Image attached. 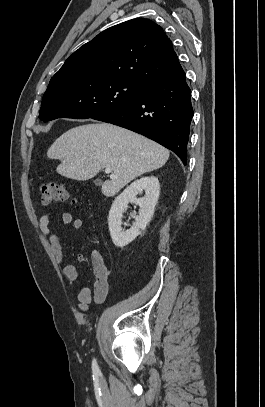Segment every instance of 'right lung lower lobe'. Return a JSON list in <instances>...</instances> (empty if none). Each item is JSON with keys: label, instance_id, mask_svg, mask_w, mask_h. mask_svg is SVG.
Wrapping results in <instances>:
<instances>
[{"label": "right lung lower lobe", "instance_id": "1", "mask_svg": "<svg viewBox=\"0 0 265 407\" xmlns=\"http://www.w3.org/2000/svg\"><path fill=\"white\" fill-rule=\"evenodd\" d=\"M192 117L191 90L178 61L169 75L147 85L134 103L93 119L142 134L172 150L186 165Z\"/></svg>", "mask_w": 265, "mask_h": 407}]
</instances>
